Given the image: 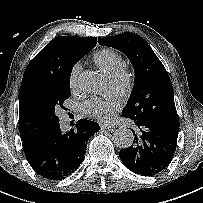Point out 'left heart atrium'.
<instances>
[{
	"instance_id": "39dd6f15",
	"label": "left heart atrium",
	"mask_w": 203,
	"mask_h": 203,
	"mask_svg": "<svg viewBox=\"0 0 203 203\" xmlns=\"http://www.w3.org/2000/svg\"><path fill=\"white\" fill-rule=\"evenodd\" d=\"M119 106V102L115 99L102 100L93 98L84 104L83 111L90 117L107 120L112 118Z\"/></svg>"
}]
</instances>
